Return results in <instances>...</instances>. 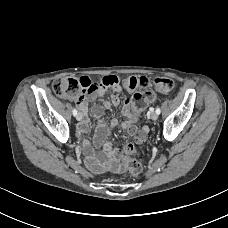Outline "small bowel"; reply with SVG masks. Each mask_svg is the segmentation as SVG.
Returning <instances> with one entry per match:
<instances>
[{
  "mask_svg": "<svg viewBox=\"0 0 228 228\" xmlns=\"http://www.w3.org/2000/svg\"><path fill=\"white\" fill-rule=\"evenodd\" d=\"M121 91L119 85L113 87V92L110 95L109 100H104L103 105L100 106L95 104L91 108L92 115L96 118V128H95V139L94 144L96 146L103 145L104 155L107 159L108 164L114 171H121L122 166L119 163L121 154L118 149H116L110 142H105V139L110 135L111 128L118 125V120L113 119L111 121V128H107L103 120L104 108L109 109L111 107H117L120 104V98L118 93ZM104 95V90H98L93 93H87L86 95H81L76 98V103L81 112V122L78 125L77 129L79 133H84L88 130L89 127V115H88V102L93 101L96 98L102 97ZM122 113L125 116H128L129 119L122 123V128L126 129L130 136H133L135 141L142 143L146 140L148 129L145 126H138L137 120L132 121V108H131V99L127 98L122 107ZM86 149L90 150V145L85 143Z\"/></svg>",
  "mask_w": 228,
  "mask_h": 228,
  "instance_id": "obj_1",
  "label": "small bowel"
}]
</instances>
